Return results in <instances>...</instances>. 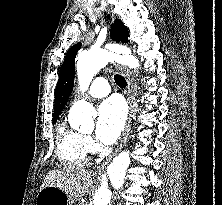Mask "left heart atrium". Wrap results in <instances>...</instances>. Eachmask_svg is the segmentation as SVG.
Listing matches in <instances>:
<instances>
[{
  "instance_id": "obj_1",
  "label": "left heart atrium",
  "mask_w": 222,
  "mask_h": 205,
  "mask_svg": "<svg viewBox=\"0 0 222 205\" xmlns=\"http://www.w3.org/2000/svg\"><path fill=\"white\" fill-rule=\"evenodd\" d=\"M126 121V108L121 99L111 97L98 108L96 137L105 144H111L120 136Z\"/></svg>"
}]
</instances>
